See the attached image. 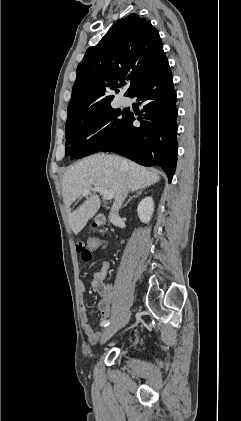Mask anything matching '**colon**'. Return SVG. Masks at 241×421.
Returning a JSON list of instances; mask_svg holds the SVG:
<instances>
[{
  "mask_svg": "<svg viewBox=\"0 0 241 421\" xmlns=\"http://www.w3.org/2000/svg\"><path fill=\"white\" fill-rule=\"evenodd\" d=\"M99 245L97 239H90L87 242H77L76 251L83 261H90L92 258V251Z\"/></svg>",
  "mask_w": 241,
  "mask_h": 421,
  "instance_id": "5ec220e1",
  "label": "colon"
}]
</instances>
